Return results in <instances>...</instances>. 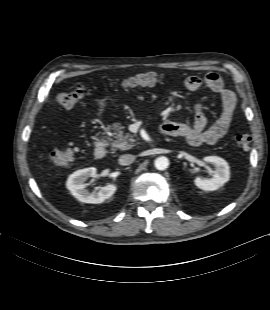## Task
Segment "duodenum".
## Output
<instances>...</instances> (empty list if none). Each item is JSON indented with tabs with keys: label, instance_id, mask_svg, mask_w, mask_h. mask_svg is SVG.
Here are the masks:
<instances>
[{
	"label": "duodenum",
	"instance_id": "duodenum-1",
	"mask_svg": "<svg viewBox=\"0 0 270 310\" xmlns=\"http://www.w3.org/2000/svg\"><path fill=\"white\" fill-rule=\"evenodd\" d=\"M106 154V142L103 139H99L94 147V156L97 159H102Z\"/></svg>",
	"mask_w": 270,
	"mask_h": 310
}]
</instances>
